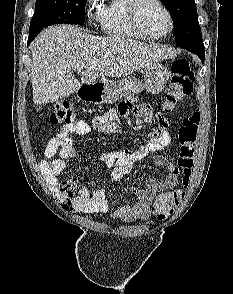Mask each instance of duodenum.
<instances>
[{"mask_svg":"<svg viewBox=\"0 0 233 294\" xmlns=\"http://www.w3.org/2000/svg\"><path fill=\"white\" fill-rule=\"evenodd\" d=\"M102 89L100 84L85 85L78 90V96L82 100H92L101 95Z\"/></svg>","mask_w":233,"mask_h":294,"instance_id":"obj_1","label":"duodenum"}]
</instances>
